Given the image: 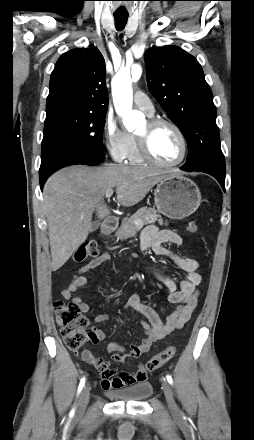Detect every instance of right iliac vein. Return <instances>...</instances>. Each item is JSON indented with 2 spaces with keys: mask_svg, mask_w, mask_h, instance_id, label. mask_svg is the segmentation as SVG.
<instances>
[{
  "mask_svg": "<svg viewBox=\"0 0 254 440\" xmlns=\"http://www.w3.org/2000/svg\"><path fill=\"white\" fill-rule=\"evenodd\" d=\"M89 396H90V388L89 386H85L78 400V405L76 409L77 415H82L86 410L87 405L89 403Z\"/></svg>",
  "mask_w": 254,
  "mask_h": 440,
  "instance_id": "obj_1",
  "label": "right iliac vein"
}]
</instances>
